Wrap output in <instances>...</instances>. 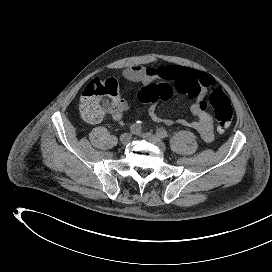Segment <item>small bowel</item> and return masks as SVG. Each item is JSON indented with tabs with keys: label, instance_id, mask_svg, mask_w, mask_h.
I'll return each instance as SVG.
<instances>
[{
	"label": "small bowel",
	"instance_id": "obj_1",
	"mask_svg": "<svg viewBox=\"0 0 272 272\" xmlns=\"http://www.w3.org/2000/svg\"><path fill=\"white\" fill-rule=\"evenodd\" d=\"M122 74L125 79L144 85L159 80L170 82L176 91L191 99L190 111L196 117V120L162 119L157 115L156 104H151L148 108L150 118L167 126L175 124L188 126L197 131L204 142L210 143L213 141V120L207 111L206 99L207 92L214 83V79L210 74L182 66H161L157 68L130 66L124 69ZM129 109L128 102L118 97L109 113L119 121L121 115Z\"/></svg>",
	"mask_w": 272,
	"mask_h": 272
}]
</instances>
